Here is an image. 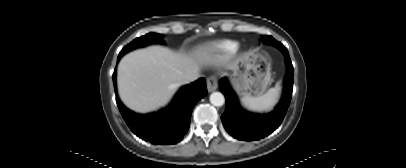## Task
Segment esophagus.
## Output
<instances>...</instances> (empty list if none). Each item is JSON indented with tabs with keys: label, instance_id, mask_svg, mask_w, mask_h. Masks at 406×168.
Returning <instances> with one entry per match:
<instances>
[{
	"label": "esophagus",
	"instance_id": "esophagus-1",
	"mask_svg": "<svg viewBox=\"0 0 406 168\" xmlns=\"http://www.w3.org/2000/svg\"><path fill=\"white\" fill-rule=\"evenodd\" d=\"M218 87V83L215 77H209L207 79V90L208 92L215 91Z\"/></svg>",
	"mask_w": 406,
	"mask_h": 168
}]
</instances>
